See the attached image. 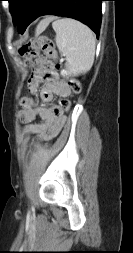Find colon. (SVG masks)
Masks as SVG:
<instances>
[{
    "label": "colon",
    "instance_id": "5ec220e1",
    "mask_svg": "<svg viewBox=\"0 0 133 253\" xmlns=\"http://www.w3.org/2000/svg\"><path fill=\"white\" fill-rule=\"evenodd\" d=\"M45 56H54V60L57 59V52L54 42L46 36H38L29 40L19 48V54L24 59L27 65L39 57L40 54ZM53 62V61H52ZM66 83L69 84L71 90L74 93H79L81 89L80 82L75 78H66ZM71 108V101L69 99H61L54 108L56 115L64 114Z\"/></svg>",
    "mask_w": 133,
    "mask_h": 253
}]
</instances>
